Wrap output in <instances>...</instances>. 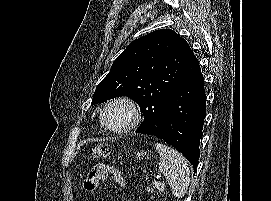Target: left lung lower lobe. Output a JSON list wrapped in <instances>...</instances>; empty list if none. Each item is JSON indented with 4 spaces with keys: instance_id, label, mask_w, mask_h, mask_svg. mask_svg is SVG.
Masks as SVG:
<instances>
[{
    "instance_id": "0a47b994",
    "label": "left lung lower lobe",
    "mask_w": 271,
    "mask_h": 201,
    "mask_svg": "<svg viewBox=\"0 0 271 201\" xmlns=\"http://www.w3.org/2000/svg\"><path fill=\"white\" fill-rule=\"evenodd\" d=\"M205 115L204 79L199 62L187 43L180 79L163 109L160 128L150 131L140 126L136 132L163 139L178 149L196 171Z\"/></svg>"
}]
</instances>
